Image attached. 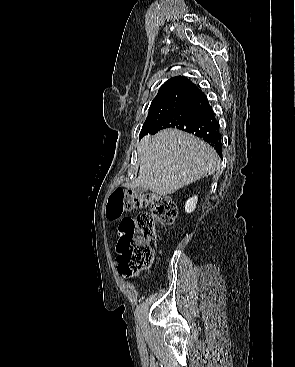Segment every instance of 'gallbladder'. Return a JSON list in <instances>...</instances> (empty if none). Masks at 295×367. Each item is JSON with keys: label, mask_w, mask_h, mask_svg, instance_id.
Here are the masks:
<instances>
[{"label": "gallbladder", "mask_w": 295, "mask_h": 367, "mask_svg": "<svg viewBox=\"0 0 295 367\" xmlns=\"http://www.w3.org/2000/svg\"><path fill=\"white\" fill-rule=\"evenodd\" d=\"M144 191H145V189L142 188V187H140V186L139 187H136L134 189V192H135L136 195H141Z\"/></svg>", "instance_id": "obj_1"}]
</instances>
